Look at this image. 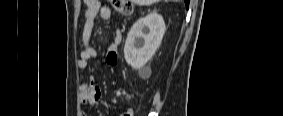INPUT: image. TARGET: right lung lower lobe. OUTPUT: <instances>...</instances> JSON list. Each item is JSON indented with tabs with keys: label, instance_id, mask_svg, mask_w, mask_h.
<instances>
[{
	"label": "right lung lower lobe",
	"instance_id": "1",
	"mask_svg": "<svg viewBox=\"0 0 283 116\" xmlns=\"http://www.w3.org/2000/svg\"><path fill=\"white\" fill-rule=\"evenodd\" d=\"M185 1V4H186V8H188L189 6V0H184Z\"/></svg>",
	"mask_w": 283,
	"mask_h": 116
}]
</instances>
